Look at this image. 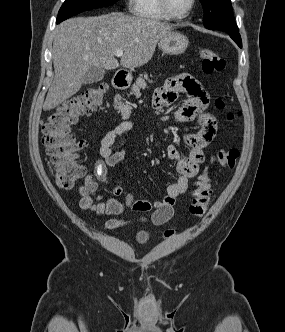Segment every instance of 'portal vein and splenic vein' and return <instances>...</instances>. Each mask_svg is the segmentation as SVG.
Segmentation results:
<instances>
[{
	"mask_svg": "<svg viewBox=\"0 0 285 332\" xmlns=\"http://www.w3.org/2000/svg\"><path fill=\"white\" fill-rule=\"evenodd\" d=\"M116 57H122L123 56V50L117 49L114 53Z\"/></svg>",
	"mask_w": 285,
	"mask_h": 332,
	"instance_id": "1",
	"label": "portal vein and splenic vein"
}]
</instances>
